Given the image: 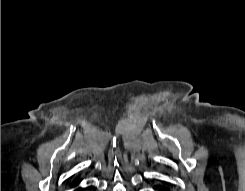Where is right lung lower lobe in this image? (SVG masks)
Masks as SVG:
<instances>
[{"instance_id":"98d812e1","label":"right lung lower lobe","mask_w":245,"mask_h":191,"mask_svg":"<svg viewBox=\"0 0 245 191\" xmlns=\"http://www.w3.org/2000/svg\"><path fill=\"white\" fill-rule=\"evenodd\" d=\"M78 185V183H75V184H73V187H76ZM75 191H83V189L82 188H77V189H75Z\"/></svg>"}]
</instances>
